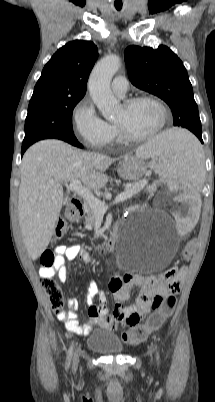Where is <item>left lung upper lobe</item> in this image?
Wrapping results in <instances>:
<instances>
[{
  "mask_svg": "<svg viewBox=\"0 0 215 402\" xmlns=\"http://www.w3.org/2000/svg\"><path fill=\"white\" fill-rule=\"evenodd\" d=\"M128 76L133 85L164 100L172 110L174 126L202 136L192 85L182 61L167 46L157 49L129 46L125 50Z\"/></svg>",
  "mask_w": 215,
  "mask_h": 402,
  "instance_id": "obj_1",
  "label": "left lung upper lobe"
}]
</instances>
